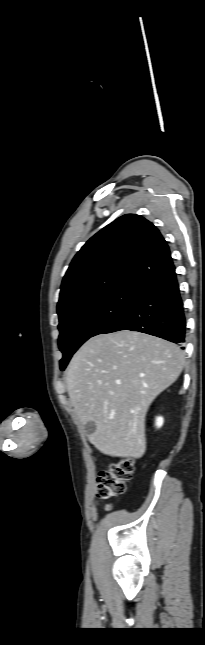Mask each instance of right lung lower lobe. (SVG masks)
I'll return each mask as SVG.
<instances>
[{
    "label": "right lung lower lobe",
    "mask_w": 205,
    "mask_h": 645,
    "mask_svg": "<svg viewBox=\"0 0 205 645\" xmlns=\"http://www.w3.org/2000/svg\"><path fill=\"white\" fill-rule=\"evenodd\" d=\"M120 330L185 342L186 320L174 265L142 284L136 302L101 334Z\"/></svg>",
    "instance_id": "right-lung-lower-lobe-1"
}]
</instances>
